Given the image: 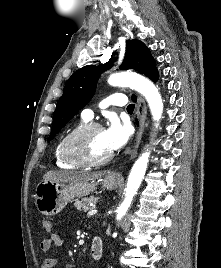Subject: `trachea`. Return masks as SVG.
Here are the masks:
<instances>
[{"mask_svg":"<svg viewBox=\"0 0 221 268\" xmlns=\"http://www.w3.org/2000/svg\"><path fill=\"white\" fill-rule=\"evenodd\" d=\"M134 104H130V105H128V107H127V111H133L134 110Z\"/></svg>","mask_w":221,"mask_h":268,"instance_id":"trachea-1","label":"trachea"}]
</instances>
